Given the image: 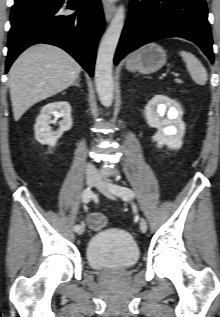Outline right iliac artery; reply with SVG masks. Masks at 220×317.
I'll list each match as a JSON object with an SVG mask.
<instances>
[{"mask_svg": "<svg viewBox=\"0 0 220 317\" xmlns=\"http://www.w3.org/2000/svg\"><path fill=\"white\" fill-rule=\"evenodd\" d=\"M92 192L89 188L85 189L82 194V201L88 203L91 200ZM81 225H75L74 230L77 232L80 229Z\"/></svg>", "mask_w": 220, "mask_h": 317, "instance_id": "right-iliac-artery-1", "label": "right iliac artery"}]
</instances>
